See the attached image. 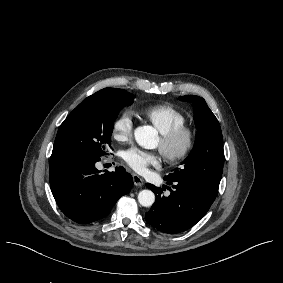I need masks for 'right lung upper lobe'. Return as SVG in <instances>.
Wrapping results in <instances>:
<instances>
[{
    "mask_svg": "<svg viewBox=\"0 0 283 283\" xmlns=\"http://www.w3.org/2000/svg\"><path fill=\"white\" fill-rule=\"evenodd\" d=\"M113 89H116V88H105V89H102V90L96 92L95 94H93V95H91V96H89V97L97 96V95L103 94V93H105V92L111 91V90H113ZM58 162H62V161H59V160H57L54 156H51L50 164H52V163H58Z\"/></svg>",
    "mask_w": 283,
    "mask_h": 283,
    "instance_id": "1",
    "label": "right lung upper lobe"
}]
</instances>
